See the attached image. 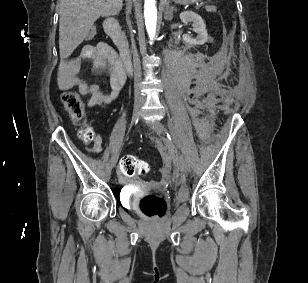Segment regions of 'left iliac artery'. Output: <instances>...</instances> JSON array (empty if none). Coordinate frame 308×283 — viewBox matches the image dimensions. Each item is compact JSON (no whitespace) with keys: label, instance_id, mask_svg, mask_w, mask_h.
<instances>
[{"label":"left iliac artery","instance_id":"44dca946","mask_svg":"<svg viewBox=\"0 0 308 283\" xmlns=\"http://www.w3.org/2000/svg\"><path fill=\"white\" fill-rule=\"evenodd\" d=\"M167 138H168V140L171 141L172 136L169 133H167Z\"/></svg>","mask_w":308,"mask_h":283}]
</instances>
